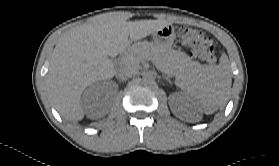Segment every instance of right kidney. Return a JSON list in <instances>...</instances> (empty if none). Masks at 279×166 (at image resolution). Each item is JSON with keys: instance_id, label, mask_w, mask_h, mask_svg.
<instances>
[{"instance_id": "1", "label": "right kidney", "mask_w": 279, "mask_h": 166, "mask_svg": "<svg viewBox=\"0 0 279 166\" xmlns=\"http://www.w3.org/2000/svg\"><path fill=\"white\" fill-rule=\"evenodd\" d=\"M118 88H112L109 84H96L88 88L83 96V101L85 104L90 106H95L99 100V96L102 93L107 95H113L117 92Z\"/></svg>"}]
</instances>
